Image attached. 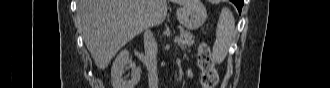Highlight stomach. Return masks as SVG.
<instances>
[{"label": "stomach", "instance_id": "obj_1", "mask_svg": "<svg viewBox=\"0 0 330 88\" xmlns=\"http://www.w3.org/2000/svg\"><path fill=\"white\" fill-rule=\"evenodd\" d=\"M176 16L180 24L188 30L198 29L207 18L205 6L199 0H190L187 5H183L176 11Z\"/></svg>", "mask_w": 330, "mask_h": 88}]
</instances>
